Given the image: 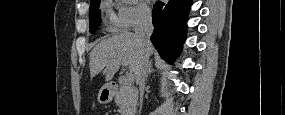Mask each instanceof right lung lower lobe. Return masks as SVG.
Returning <instances> with one entry per match:
<instances>
[{
    "label": "right lung lower lobe",
    "mask_w": 285,
    "mask_h": 115,
    "mask_svg": "<svg viewBox=\"0 0 285 115\" xmlns=\"http://www.w3.org/2000/svg\"><path fill=\"white\" fill-rule=\"evenodd\" d=\"M192 5L191 0L157 1L153 8L154 32L151 41L165 61L175 59L187 34L186 22Z\"/></svg>",
    "instance_id": "right-lung-lower-lobe-1"
}]
</instances>
